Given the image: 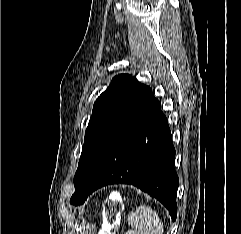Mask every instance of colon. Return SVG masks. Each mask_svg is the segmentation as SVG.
I'll list each match as a JSON object with an SVG mask.
<instances>
[{"label":"colon","instance_id":"5ec220e1","mask_svg":"<svg viewBox=\"0 0 241 234\" xmlns=\"http://www.w3.org/2000/svg\"><path fill=\"white\" fill-rule=\"evenodd\" d=\"M121 211V201L119 197L115 198H109L105 203V213L106 215L114 220L115 217L120 213Z\"/></svg>","mask_w":241,"mask_h":234}]
</instances>
